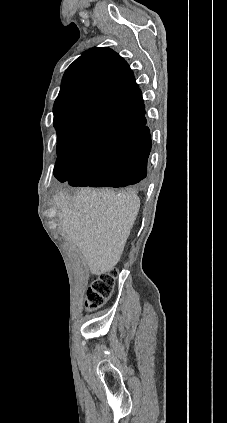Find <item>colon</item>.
I'll list each match as a JSON object with an SVG mask.
<instances>
[{
    "label": "colon",
    "mask_w": 227,
    "mask_h": 423,
    "mask_svg": "<svg viewBox=\"0 0 227 423\" xmlns=\"http://www.w3.org/2000/svg\"><path fill=\"white\" fill-rule=\"evenodd\" d=\"M116 270L101 274L94 279L86 292L85 306L88 310H95L103 306L111 296Z\"/></svg>",
    "instance_id": "5ec220e1"
}]
</instances>
